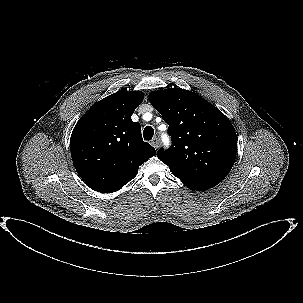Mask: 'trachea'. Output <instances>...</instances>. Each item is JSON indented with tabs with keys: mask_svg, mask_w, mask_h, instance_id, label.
<instances>
[{
	"mask_svg": "<svg viewBox=\"0 0 303 303\" xmlns=\"http://www.w3.org/2000/svg\"><path fill=\"white\" fill-rule=\"evenodd\" d=\"M154 130L151 126H146L143 131V137L146 141H149L153 138Z\"/></svg>",
	"mask_w": 303,
	"mask_h": 303,
	"instance_id": "obj_1",
	"label": "trachea"
}]
</instances>
